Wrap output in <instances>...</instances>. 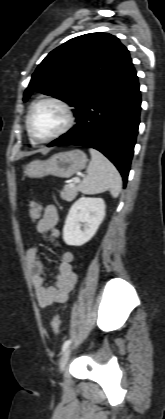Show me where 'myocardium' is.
Listing matches in <instances>:
<instances>
[{"label": "myocardium", "mask_w": 165, "mask_h": 419, "mask_svg": "<svg viewBox=\"0 0 165 419\" xmlns=\"http://www.w3.org/2000/svg\"><path fill=\"white\" fill-rule=\"evenodd\" d=\"M42 103H52L57 105L58 107L61 108V110L63 111L64 115H65V122L63 124V126L54 134H52L51 136L47 137V138H39L35 135V133L33 132L32 126H31V117H32V113L34 111V109L42 104ZM74 124V113L72 108L70 107V105L65 102L64 100L57 98V97H53V96H47L44 98H41L37 101H35L29 108L27 116H26V128H27V132L29 134V137L32 139L33 142L35 143H39V144H43V143H48L51 141H54L58 138H60L61 136H63L64 134H66L71 127Z\"/></svg>", "instance_id": "1"}]
</instances>
